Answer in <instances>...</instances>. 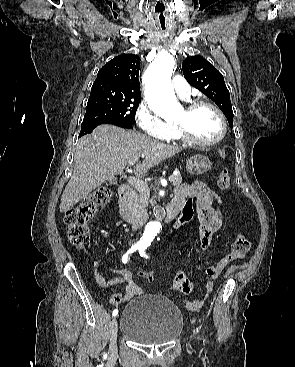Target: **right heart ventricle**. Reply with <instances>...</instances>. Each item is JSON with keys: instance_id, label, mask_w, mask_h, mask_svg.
Masks as SVG:
<instances>
[{"instance_id": "right-heart-ventricle-1", "label": "right heart ventricle", "mask_w": 295, "mask_h": 367, "mask_svg": "<svg viewBox=\"0 0 295 367\" xmlns=\"http://www.w3.org/2000/svg\"><path fill=\"white\" fill-rule=\"evenodd\" d=\"M181 136L178 133L177 129L175 128L171 136L168 138V140H180Z\"/></svg>"}]
</instances>
